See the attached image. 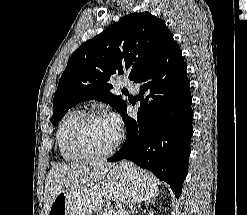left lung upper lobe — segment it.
I'll list each match as a JSON object with an SVG mask.
<instances>
[{
	"mask_svg": "<svg viewBox=\"0 0 247 215\" xmlns=\"http://www.w3.org/2000/svg\"><path fill=\"white\" fill-rule=\"evenodd\" d=\"M172 37L162 19L142 12L125 16L82 44L59 80L52 124L56 126L71 107L90 99L107 103L122 114L126 103L110 92V77L128 73L135 81L157 60Z\"/></svg>",
	"mask_w": 247,
	"mask_h": 215,
	"instance_id": "1",
	"label": "left lung upper lobe"
}]
</instances>
